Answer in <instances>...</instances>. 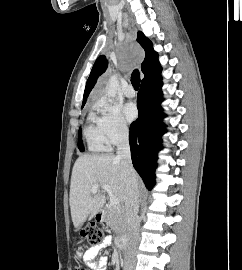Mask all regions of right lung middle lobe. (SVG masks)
I'll return each mask as SVG.
<instances>
[{
    "label": "right lung middle lobe",
    "instance_id": "dd1d6c3e",
    "mask_svg": "<svg viewBox=\"0 0 242 270\" xmlns=\"http://www.w3.org/2000/svg\"><path fill=\"white\" fill-rule=\"evenodd\" d=\"M78 148L80 151H84V146L81 138V130H79V137H78Z\"/></svg>",
    "mask_w": 242,
    "mask_h": 270
}]
</instances>
